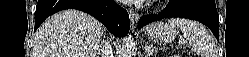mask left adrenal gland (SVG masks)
Returning <instances> with one entry per match:
<instances>
[{"instance_id":"obj_1","label":"left adrenal gland","mask_w":249,"mask_h":57,"mask_svg":"<svg viewBox=\"0 0 249 57\" xmlns=\"http://www.w3.org/2000/svg\"><path fill=\"white\" fill-rule=\"evenodd\" d=\"M144 50L146 52V57H149L152 55L154 52H157V49L155 47H152L151 45H146L144 47Z\"/></svg>"}]
</instances>
